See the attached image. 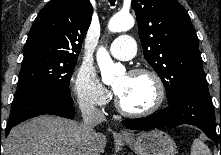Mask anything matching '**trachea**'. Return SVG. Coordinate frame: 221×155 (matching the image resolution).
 Instances as JSON below:
<instances>
[{
    "label": "trachea",
    "mask_w": 221,
    "mask_h": 155,
    "mask_svg": "<svg viewBox=\"0 0 221 155\" xmlns=\"http://www.w3.org/2000/svg\"><path fill=\"white\" fill-rule=\"evenodd\" d=\"M110 2V4L113 6L115 4L116 0H108Z\"/></svg>",
    "instance_id": "3493384b"
}]
</instances>
